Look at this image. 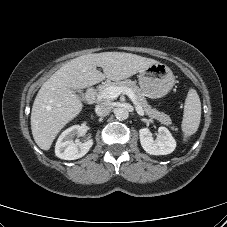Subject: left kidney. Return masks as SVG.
Instances as JSON below:
<instances>
[{"instance_id":"5707ae66","label":"left kidney","mask_w":227,"mask_h":227,"mask_svg":"<svg viewBox=\"0 0 227 227\" xmlns=\"http://www.w3.org/2000/svg\"><path fill=\"white\" fill-rule=\"evenodd\" d=\"M158 138L154 140L148 128L139 130L142 148L150 155H167L176 148V141L166 127H159Z\"/></svg>"}]
</instances>
